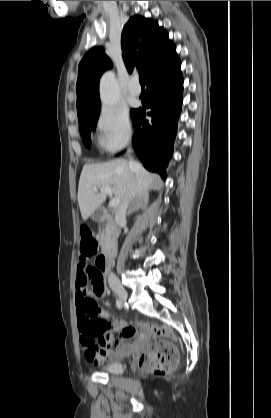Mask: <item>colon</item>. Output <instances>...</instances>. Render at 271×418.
I'll return each instance as SVG.
<instances>
[{
  "instance_id": "colon-1",
  "label": "colon",
  "mask_w": 271,
  "mask_h": 418,
  "mask_svg": "<svg viewBox=\"0 0 271 418\" xmlns=\"http://www.w3.org/2000/svg\"><path fill=\"white\" fill-rule=\"evenodd\" d=\"M96 251L97 241L93 232L88 227H83L80 232V260L87 262L95 255ZM152 331L156 341L141 356L139 363L144 370L163 376L174 371L178 365L179 355L176 347L173 345L171 332L160 327H154Z\"/></svg>"
}]
</instances>
